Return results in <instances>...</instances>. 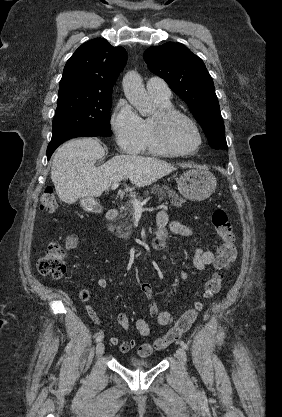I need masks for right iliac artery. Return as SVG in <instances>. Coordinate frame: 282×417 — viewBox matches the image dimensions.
<instances>
[{
  "label": "right iliac artery",
  "instance_id": "right-iliac-artery-1",
  "mask_svg": "<svg viewBox=\"0 0 282 417\" xmlns=\"http://www.w3.org/2000/svg\"><path fill=\"white\" fill-rule=\"evenodd\" d=\"M104 338V334H103V332H100L99 334H98V336L96 337V342H100V341H102V339Z\"/></svg>",
  "mask_w": 282,
  "mask_h": 417
}]
</instances>
